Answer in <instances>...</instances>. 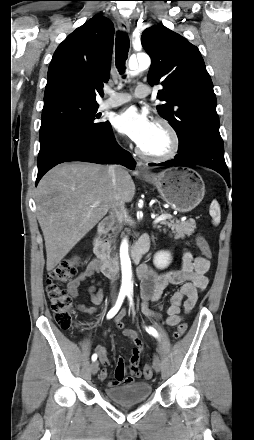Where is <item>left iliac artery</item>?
<instances>
[{"label": "left iliac artery", "instance_id": "1", "mask_svg": "<svg viewBox=\"0 0 254 440\" xmlns=\"http://www.w3.org/2000/svg\"><path fill=\"white\" fill-rule=\"evenodd\" d=\"M127 295H128V298H129L130 304L132 305V304H133V299H132L133 294H132V292H128ZM146 331H147L149 334L153 335L154 337H158V332H157L156 329H154L153 327H150V326H149V327H146Z\"/></svg>", "mask_w": 254, "mask_h": 440}]
</instances>
